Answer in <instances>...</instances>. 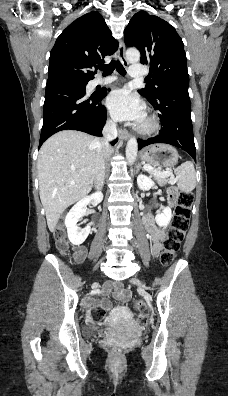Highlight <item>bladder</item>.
Listing matches in <instances>:
<instances>
[{
	"mask_svg": "<svg viewBox=\"0 0 228 396\" xmlns=\"http://www.w3.org/2000/svg\"><path fill=\"white\" fill-rule=\"evenodd\" d=\"M105 331H106L105 329L88 328V329H86L85 334L87 337H92V336L102 334Z\"/></svg>",
	"mask_w": 228,
	"mask_h": 396,
	"instance_id": "31cf9c89",
	"label": "bladder"
}]
</instances>
